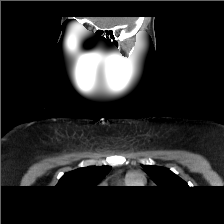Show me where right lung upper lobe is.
<instances>
[{"mask_svg":"<svg viewBox=\"0 0 224 224\" xmlns=\"http://www.w3.org/2000/svg\"><path fill=\"white\" fill-rule=\"evenodd\" d=\"M111 170L110 166H89L65 173L57 186L66 189H84L95 187Z\"/></svg>","mask_w":224,"mask_h":224,"instance_id":"obj_1","label":"right lung upper lobe"}]
</instances>
